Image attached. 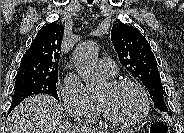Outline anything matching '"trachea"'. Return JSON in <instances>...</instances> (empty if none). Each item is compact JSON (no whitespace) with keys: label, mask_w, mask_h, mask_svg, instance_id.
<instances>
[{"label":"trachea","mask_w":184,"mask_h":133,"mask_svg":"<svg viewBox=\"0 0 184 133\" xmlns=\"http://www.w3.org/2000/svg\"><path fill=\"white\" fill-rule=\"evenodd\" d=\"M87 2H88L89 4H92L93 0H87Z\"/></svg>","instance_id":"trachea-1"}]
</instances>
